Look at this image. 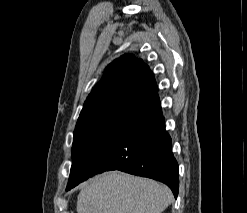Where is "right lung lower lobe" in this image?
<instances>
[{
  "label": "right lung lower lobe",
  "instance_id": "right-lung-lower-lobe-1",
  "mask_svg": "<svg viewBox=\"0 0 247 213\" xmlns=\"http://www.w3.org/2000/svg\"><path fill=\"white\" fill-rule=\"evenodd\" d=\"M96 174L120 170L165 183L175 198L179 188L178 163L165 131L158 94L135 102L113 144L98 160Z\"/></svg>",
  "mask_w": 247,
  "mask_h": 213
}]
</instances>
